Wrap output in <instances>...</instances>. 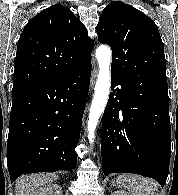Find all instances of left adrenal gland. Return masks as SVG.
I'll list each match as a JSON object with an SVG mask.
<instances>
[{"label": "left adrenal gland", "instance_id": "obj_1", "mask_svg": "<svg viewBox=\"0 0 178 195\" xmlns=\"http://www.w3.org/2000/svg\"><path fill=\"white\" fill-rule=\"evenodd\" d=\"M114 184H115V182L113 181V182L111 183V186H114Z\"/></svg>", "mask_w": 178, "mask_h": 195}]
</instances>
